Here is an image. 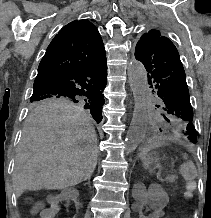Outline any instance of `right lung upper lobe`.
I'll return each instance as SVG.
<instances>
[{
    "mask_svg": "<svg viewBox=\"0 0 211 218\" xmlns=\"http://www.w3.org/2000/svg\"><path fill=\"white\" fill-rule=\"evenodd\" d=\"M104 58L105 48L97 28L88 20L72 21L59 31L48 46L39 64L34 87Z\"/></svg>",
    "mask_w": 211,
    "mask_h": 218,
    "instance_id": "cb5924a9",
    "label": "right lung upper lobe"
}]
</instances>
